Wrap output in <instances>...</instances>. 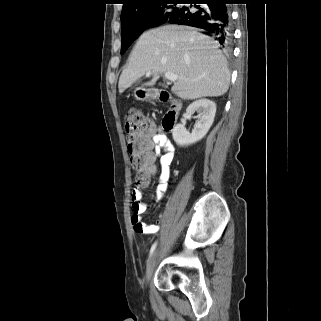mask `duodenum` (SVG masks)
Here are the masks:
<instances>
[{
    "label": "duodenum",
    "instance_id": "duodenum-1",
    "mask_svg": "<svg viewBox=\"0 0 321 321\" xmlns=\"http://www.w3.org/2000/svg\"><path fill=\"white\" fill-rule=\"evenodd\" d=\"M155 96L160 100L164 102L170 103V109L166 113L164 119H163V127L171 131L178 119L180 110H181V102L177 99H174L167 91L165 90H158L155 92Z\"/></svg>",
    "mask_w": 321,
    "mask_h": 321
}]
</instances>
